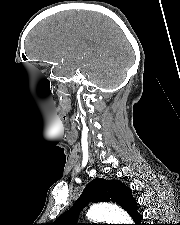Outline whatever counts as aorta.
<instances>
[{
    "instance_id": "762f6f07",
    "label": "aorta",
    "mask_w": 180,
    "mask_h": 225,
    "mask_svg": "<svg viewBox=\"0 0 180 225\" xmlns=\"http://www.w3.org/2000/svg\"><path fill=\"white\" fill-rule=\"evenodd\" d=\"M87 217L94 221H106L108 224H132L131 217L121 208L112 204L93 205Z\"/></svg>"
}]
</instances>
